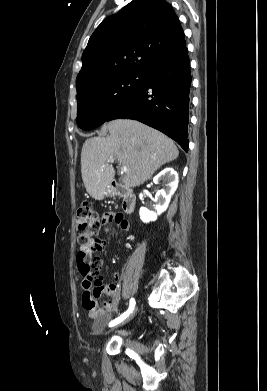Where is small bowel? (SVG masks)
<instances>
[{
	"instance_id": "obj_1",
	"label": "small bowel",
	"mask_w": 267,
	"mask_h": 391,
	"mask_svg": "<svg viewBox=\"0 0 267 391\" xmlns=\"http://www.w3.org/2000/svg\"><path fill=\"white\" fill-rule=\"evenodd\" d=\"M103 221L116 222L123 231L129 230L128 221L124 220L120 214L105 213ZM77 265L80 276L82 277V306L91 314L98 311V300L103 294L110 296V300L104 303V309H113L120 300V291L115 284H106L105 278L101 274L102 259L93 256L91 253L79 252L77 255ZM111 278L114 281L120 279L118 272H113Z\"/></svg>"
}]
</instances>
